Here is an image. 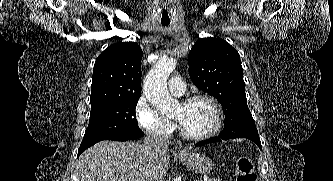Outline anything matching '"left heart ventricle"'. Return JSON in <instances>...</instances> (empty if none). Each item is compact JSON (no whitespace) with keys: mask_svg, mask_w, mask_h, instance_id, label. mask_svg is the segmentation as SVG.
Here are the masks:
<instances>
[{"mask_svg":"<svg viewBox=\"0 0 333 181\" xmlns=\"http://www.w3.org/2000/svg\"><path fill=\"white\" fill-rule=\"evenodd\" d=\"M173 117L190 134L205 133L214 123V112L211 105L202 100L186 105L179 104L173 112Z\"/></svg>","mask_w":333,"mask_h":181,"instance_id":"1","label":"left heart ventricle"}]
</instances>
